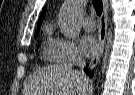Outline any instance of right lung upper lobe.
I'll use <instances>...</instances> for the list:
<instances>
[{"label":"right lung upper lobe","instance_id":"1","mask_svg":"<svg viewBox=\"0 0 135 95\" xmlns=\"http://www.w3.org/2000/svg\"><path fill=\"white\" fill-rule=\"evenodd\" d=\"M45 12H46V8L42 11L41 15H40V18L38 20V24H37V33L39 32V29H40V26H41V22L44 18V15H45Z\"/></svg>","mask_w":135,"mask_h":95}]
</instances>
